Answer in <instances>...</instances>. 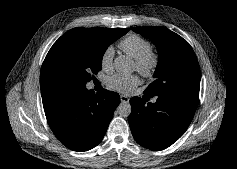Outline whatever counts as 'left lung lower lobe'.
I'll use <instances>...</instances> for the list:
<instances>
[{"instance_id":"obj_1","label":"left lung lower lobe","mask_w":237,"mask_h":169,"mask_svg":"<svg viewBox=\"0 0 237 169\" xmlns=\"http://www.w3.org/2000/svg\"><path fill=\"white\" fill-rule=\"evenodd\" d=\"M156 96V103L147 105L139 97L130 99L129 125L134 139L141 146L163 150L188 128L198 105L199 93L168 91Z\"/></svg>"}]
</instances>
